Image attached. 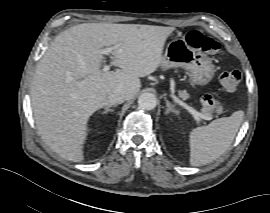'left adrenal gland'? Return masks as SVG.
I'll return each instance as SVG.
<instances>
[{
	"label": "left adrenal gland",
	"mask_w": 270,
	"mask_h": 213,
	"mask_svg": "<svg viewBox=\"0 0 270 213\" xmlns=\"http://www.w3.org/2000/svg\"><path fill=\"white\" fill-rule=\"evenodd\" d=\"M166 100V111L165 114H169L170 112L175 113L176 110L172 107V105L170 104V102L165 98Z\"/></svg>",
	"instance_id": "1"
}]
</instances>
